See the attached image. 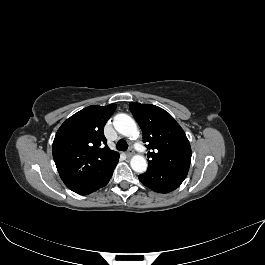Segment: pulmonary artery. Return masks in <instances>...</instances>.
<instances>
[{
	"instance_id": "pulmonary-artery-1",
	"label": "pulmonary artery",
	"mask_w": 265,
	"mask_h": 265,
	"mask_svg": "<svg viewBox=\"0 0 265 265\" xmlns=\"http://www.w3.org/2000/svg\"><path fill=\"white\" fill-rule=\"evenodd\" d=\"M137 149H138V151H140L141 153H146V148H144V147H141V146H137Z\"/></svg>"
}]
</instances>
